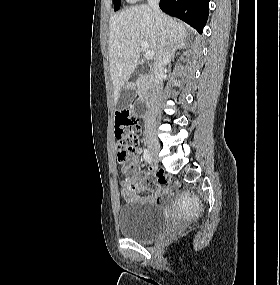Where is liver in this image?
I'll return each mask as SVG.
<instances>
[{"label": "liver", "instance_id": "obj_1", "mask_svg": "<svg viewBox=\"0 0 280 285\" xmlns=\"http://www.w3.org/2000/svg\"><path fill=\"white\" fill-rule=\"evenodd\" d=\"M169 43L174 47L183 41L186 26L172 17L162 14ZM159 28L153 10L148 5L130 7L110 19L109 24V62L114 88V103L117 102L122 88L134 72L140 57L141 42L146 41L148 48L157 52Z\"/></svg>", "mask_w": 280, "mask_h": 285}]
</instances>
